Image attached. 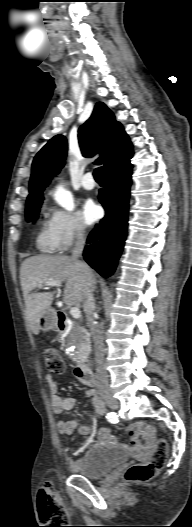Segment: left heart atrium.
I'll return each mask as SVG.
<instances>
[{
  "label": "left heart atrium",
  "instance_id": "obj_1",
  "mask_svg": "<svg viewBox=\"0 0 192 527\" xmlns=\"http://www.w3.org/2000/svg\"><path fill=\"white\" fill-rule=\"evenodd\" d=\"M101 214L99 206L92 200L86 199L81 206V215L86 224H92Z\"/></svg>",
  "mask_w": 192,
  "mask_h": 527
}]
</instances>
